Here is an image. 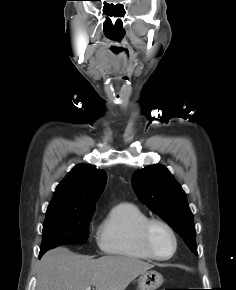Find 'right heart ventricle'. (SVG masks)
<instances>
[{"instance_id": "1", "label": "right heart ventricle", "mask_w": 236, "mask_h": 290, "mask_svg": "<svg viewBox=\"0 0 236 290\" xmlns=\"http://www.w3.org/2000/svg\"><path fill=\"white\" fill-rule=\"evenodd\" d=\"M148 216L140 207L130 202L113 206L98 230V245L108 255L127 259L149 261L139 237L141 225Z\"/></svg>"}]
</instances>
